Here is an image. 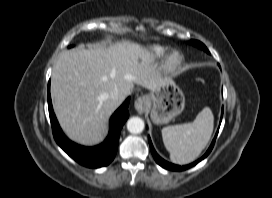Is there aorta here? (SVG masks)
Instances as JSON below:
<instances>
[{"mask_svg":"<svg viewBox=\"0 0 272 198\" xmlns=\"http://www.w3.org/2000/svg\"><path fill=\"white\" fill-rule=\"evenodd\" d=\"M127 129L132 134L141 133L144 130V121L139 117H132L127 121Z\"/></svg>","mask_w":272,"mask_h":198,"instance_id":"obj_1","label":"aorta"}]
</instances>
